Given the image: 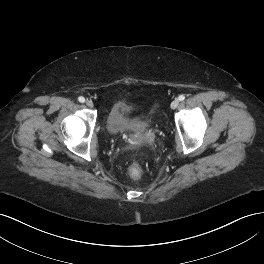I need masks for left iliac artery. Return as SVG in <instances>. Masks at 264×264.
<instances>
[{
  "mask_svg": "<svg viewBox=\"0 0 264 264\" xmlns=\"http://www.w3.org/2000/svg\"><path fill=\"white\" fill-rule=\"evenodd\" d=\"M178 99H179L180 101H183V100L185 99V96H184V95H180V96L178 97Z\"/></svg>",
  "mask_w": 264,
  "mask_h": 264,
  "instance_id": "1",
  "label": "left iliac artery"
}]
</instances>
